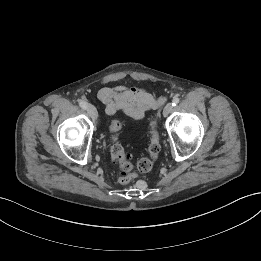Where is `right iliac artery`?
Instances as JSON below:
<instances>
[{"mask_svg": "<svg viewBox=\"0 0 261 261\" xmlns=\"http://www.w3.org/2000/svg\"><path fill=\"white\" fill-rule=\"evenodd\" d=\"M78 104H79V106L81 107V108H83V109H86V102L85 101H83V100H79L78 101Z\"/></svg>", "mask_w": 261, "mask_h": 261, "instance_id": "1", "label": "right iliac artery"}]
</instances>
